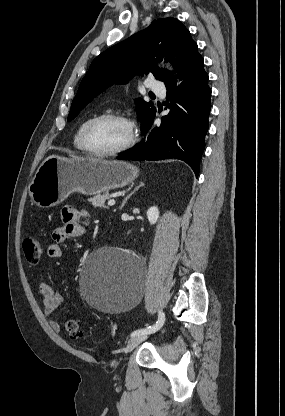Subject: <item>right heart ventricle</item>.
Masks as SVG:
<instances>
[{
  "mask_svg": "<svg viewBox=\"0 0 285 416\" xmlns=\"http://www.w3.org/2000/svg\"><path fill=\"white\" fill-rule=\"evenodd\" d=\"M88 119H84L80 124H79V126H78V128H77V130H76V132H75V134H74V136H73V145H74V147L78 150V151H81V152H85V150H84V148H83V146H82V144H81V140H80V137H81V131H82V128H83V125L85 124V122L87 121Z\"/></svg>",
  "mask_w": 285,
  "mask_h": 416,
  "instance_id": "obj_1",
  "label": "right heart ventricle"
}]
</instances>
